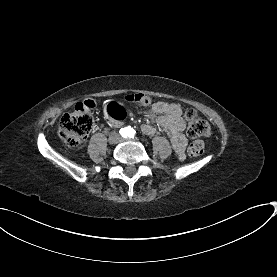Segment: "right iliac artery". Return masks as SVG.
Instances as JSON below:
<instances>
[{"label": "right iliac artery", "mask_w": 277, "mask_h": 277, "mask_svg": "<svg viewBox=\"0 0 277 277\" xmlns=\"http://www.w3.org/2000/svg\"><path fill=\"white\" fill-rule=\"evenodd\" d=\"M120 135L122 136V137H127V135H128V130L126 129V128H122V129H120Z\"/></svg>", "instance_id": "right-iliac-artery-1"}]
</instances>
